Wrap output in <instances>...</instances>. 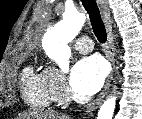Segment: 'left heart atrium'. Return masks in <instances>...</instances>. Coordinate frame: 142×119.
Wrapping results in <instances>:
<instances>
[{"mask_svg":"<svg viewBox=\"0 0 142 119\" xmlns=\"http://www.w3.org/2000/svg\"><path fill=\"white\" fill-rule=\"evenodd\" d=\"M106 76L104 61L91 56L78 61L70 76L71 88L80 95H92L102 86Z\"/></svg>","mask_w":142,"mask_h":119,"instance_id":"1","label":"left heart atrium"}]
</instances>
